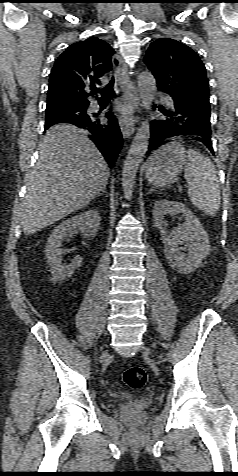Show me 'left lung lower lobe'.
I'll return each instance as SVG.
<instances>
[{
    "mask_svg": "<svg viewBox=\"0 0 238 476\" xmlns=\"http://www.w3.org/2000/svg\"><path fill=\"white\" fill-rule=\"evenodd\" d=\"M156 108V106H154ZM161 119L153 120L147 153L182 137H192L201 142L214 155L211 142L210 112L173 106L165 109L158 106Z\"/></svg>",
    "mask_w": 238,
    "mask_h": 476,
    "instance_id": "obj_1",
    "label": "left lung lower lobe"
}]
</instances>
